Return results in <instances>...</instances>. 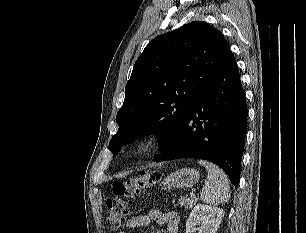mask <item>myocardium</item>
Instances as JSON below:
<instances>
[{"label":"myocardium","instance_id":"f54148a6","mask_svg":"<svg viewBox=\"0 0 306 233\" xmlns=\"http://www.w3.org/2000/svg\"><path fill=\"white\" fill-rule=\"evenodd\" d=\"M161 141L159 132L146 130L140 133L133 141L132 151L139 156H146L154 153Z\"/></svg>","mask_w":306,"mask_h":233}]
</instances>
